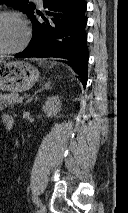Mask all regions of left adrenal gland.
Masks as SVG:
<instances>
[{"instance_id": "1", "label": "left adrenal gland", "mask_w": 128, "mask_h": 213, "mask_svg": "<svg viewBox=\"0 0 128 213\" xmlns=\"http://www.w3.org/2000/svg\"><path fill=\"white\" fill-rule=\"evenodd\" d=\"M50 88H51V87H50V82L45 83L41 89H39L38 91H36V92L26 101L25 105L28 104L29 102H31L37 93L42 92V91H44V90H48V89H50Z\"/></svg>"}]
</instances>
